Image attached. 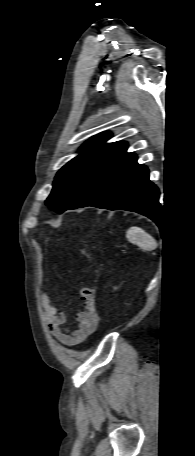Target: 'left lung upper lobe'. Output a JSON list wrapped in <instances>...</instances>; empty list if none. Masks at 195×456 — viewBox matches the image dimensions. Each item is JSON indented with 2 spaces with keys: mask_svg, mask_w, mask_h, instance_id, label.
Masks as SVG:
<instances>
[{
  "mask_svg": "<svg viewBox=\"0 0 195 456\" xmlns=\"http://www.w3.org/2000/svg\"><path fill=\"white\" fill-rule=\"evenodd\" d=\"M111 134L102 132L80 148V154L57 173L46 205L58 213L79 208L93 196L127 153V143H105Z\"/></svg>",
  "mask_w": 195,
  "mask_h": 456,
  "instance_id": "1",
  "label": "left lung upper lobe"
}]
</instances>
